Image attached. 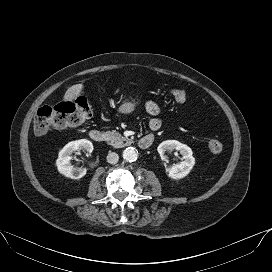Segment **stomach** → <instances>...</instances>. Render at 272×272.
Returning a JSON list of instances; mask_svg holds the SVG:
<instances>
[{"label": "stomach", "mask_w": 272, "mask_h": 272, "mask_svg": "<svg viewBox=\"0 0 272 272\" xmlns=\"http://www.w3.org/2000/svg\"><path fill=\"white\" fill-rule=\"evenodd\" d=\"M137 102L135 101H127L123 102L119 107V112L122 114H129L135 110Z\"/></svg>", "instance_id": "obj_1"}]
</instances>
